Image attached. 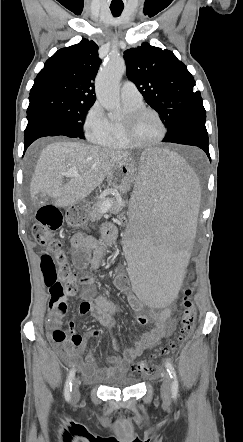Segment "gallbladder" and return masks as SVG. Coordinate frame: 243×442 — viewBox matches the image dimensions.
Instances as JSON below:
<instances>
[{"instance_id": "1", "label": "gallbladder", "mask_w": 243, "mask_h": 442, "mask_svg": "<svg viewBox=\"0 0 243 442\" xmlns=\"http://www.w3.org/2000/svg\"><path fill=\"white\" fill-rule=\"evenodd\" d=\"M52 200L53 199H52L51 195H46V194L40 193L34 198L33 203H34L35 207H41L47 203L52 204Z\"/></svg>"}]
</instances>
